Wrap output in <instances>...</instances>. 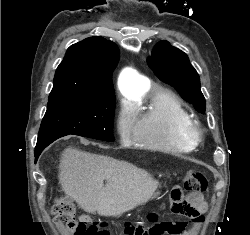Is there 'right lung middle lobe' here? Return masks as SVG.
Returning <instances> with one entry per match:
<instances>
[{"label":"right lung middle lobe","mask_w":250,"mask_h":235,"mask_svg":"<svg viewBox=\"0 0 250 235\" xmlns=\"http://www.w3.org/2000/svg\"><path fill=\"white\" fill-rule=\"evenodd\" d=\"M114 92L66 94L49 98L38 137L52 133L74 134L114 141Z\"/></svg>","instance_id":"1"}]
</instances>
